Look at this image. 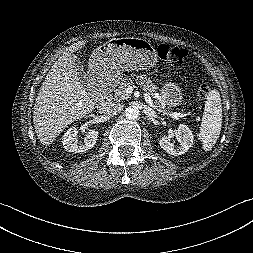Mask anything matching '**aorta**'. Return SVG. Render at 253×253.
Segmentation results:
<instances>
[{
  "label": "aorta",
  "instance_id": "1",
  "mask_svg": "<svg viewBox=\"0 0 253 253\" xmlns=\"http://www.w3.org/2000/svg\"><path fill=\"white\" fill-rule=\"evenodd\" d=\"M125 115L127 119L134 120L137 119L140 115V110L137 106H129L125 110Z\"/></svg>",
  "mask_w": 253,
  "mask_h": 253
}]
</instances>
